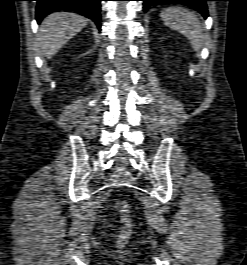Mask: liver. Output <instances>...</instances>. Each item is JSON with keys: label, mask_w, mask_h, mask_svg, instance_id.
<instances>
[{"label": "liver", "mask_w": 247, "mask_h": 265, "mask_svg": "<svg viewBox=\"0 0 247 265\" xmlns=\"http://www.w3.org/2000/svg\"><path fill=\"white\" fill-rule=\"evenodd\" d=\"M87 25V19L72 12H54L42 22L37 48L41 57L51 58Z\"/></svg>", "instance_id": "1"}]
</instances>
